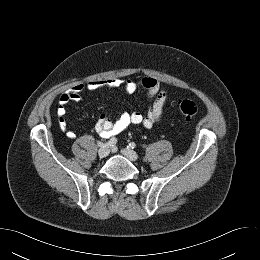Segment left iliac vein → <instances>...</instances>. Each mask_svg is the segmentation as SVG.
Returning <instances> with one entry per match:
<instances>
[{"label": "left iliac vein", "mask_w": 260, "mask_h": 260, "mask_svg": "<svg viewBox=\"0 0 260 260\" xmlns=\"http://www.w3.org/2000/svg\"><path fill=\"white\" fill-rule=\"evenodd\" d=\"M122 154L131 161H137L139 159L138 154L130 148H123Z\"/></svg>", "instance_id": "left-iliac-vein-1"}]
</instances>
